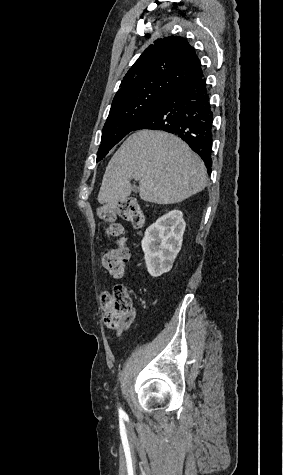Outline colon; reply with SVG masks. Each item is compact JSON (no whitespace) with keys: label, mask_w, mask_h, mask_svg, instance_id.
<instances>
[{"label":"colon","mask_w":283,"mask_h":475,"mask_svg":"<svg viewBox=\"0 0 283 475\" xmlns=\"http://www.w3.org/2000/svg\"><path fill=\"white\" fill-rule=\"evenodd\" d=\"M99 218L106 224L105 234L115 240V245L105 251L103 264L113 278L124 275L129 261V250L124 243L125 230L120 219L130 222L139 229L145 225V214L135 198H128L113 204H107L99 211ZM106 313L105 325L114 330L125 331L134 316L133 302L127 285H115L108 291V297L102 299Z\"/></svg>","instance_id":"colon-1"}]
</instances>
